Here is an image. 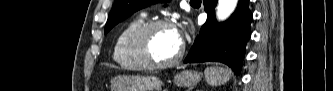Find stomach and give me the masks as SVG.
I'll return each instance as SVG.
<instances>
[{
    "mask_svg": "<svg viewBox=\"0 0 333 91\" xmlns=\"http://www.w3.org/2000/svg\"><path fill=\"white\" fill-rule=\"evenodd\" d=\"M201 80V74L196 71H183L174 77L178 86L192 87ZM111 91H155L162 82L153 76L119 75L110 80Z\"/></svg>",
    "mask_w": 333,
    "mask_h": 91,
    "instance_id": "0dacf381",
    "label": "stomach"
}]
</instances>
